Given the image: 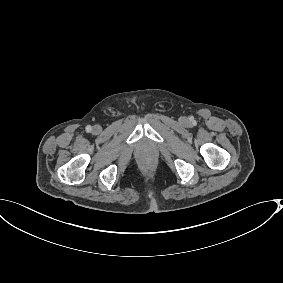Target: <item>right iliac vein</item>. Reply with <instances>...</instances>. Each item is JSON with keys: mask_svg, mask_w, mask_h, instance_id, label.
<instances>
[{"mask_svg": "<svg viewBox=\"0 0 283 283\" xmlns=\"http://www.w3.org/2000/svg\"><path fill=\"white\" fill-rule=\"evenodd\" d=\"M100 130H101V127H100L99 125H95V126L93 127V132H94V133H98Z\"/></svg>", "mask_w": 283, "mask_h": 283, "instance_id": "1", "label": "right iliac vein"}]
</instances>
